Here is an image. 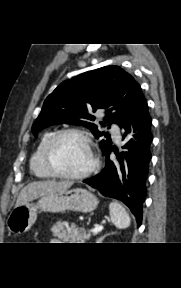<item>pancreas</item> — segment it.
Listing matches in <instances>:
<instances>
[{
  "mask_svg": "<svg viewBox=\"0 0 181 288\" xmlns=\"http://www.w3.org/2000/svg\"><path fill=\"white\" fill-rule=\"evenodd\" d=\"M53 236L66 243H84L89 240L91 234L86 233L84 229L77 228L76 226L66 227L64 222L58 221L51 229Z\"/></svg>",
  "mask_w": 181,
  "mask_h": 288,
  "instance_id": "pancreas-1",
  "label": "pancreas"
}]
</instances>
